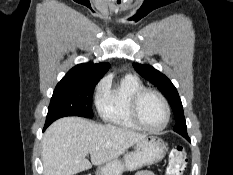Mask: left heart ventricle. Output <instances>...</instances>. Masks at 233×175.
Instances as JSON below:
<instances>
[{"label": "left heart ventricle", "instance_id": "1", "mask_svg": "<svg viewBox=\"0 0 233 175\" xmlns=\"http://www.w3.org/2000/svg\"><path fill=\"white\" fill-rule=\"evenodd\" d=\"M139 114L142 122L150 128H159L165 120L162 102L154 94H147L141 99Z\"/></svg>", "mask_w": 233, "mask_h": 175}]
</instances>
